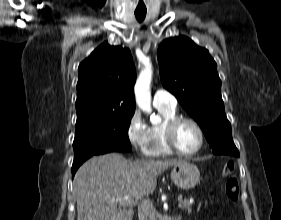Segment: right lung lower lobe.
I'll return each mask as SVG.
<instances>
[{
	"label": "right lung lower lobe",
	"mask_w": 281,
	"mask_h": 220,
	"mask_svg": "<svg viewBox=\"0 0 281 220\" xmlns=\"http://www.w3.org/2000/svg\"><path fill=\"white\" fill-rule=\"evenodd\" d=\"M111 152H115V151H111ZM111 152H108V153H111ZM93 155H94V154L85 155V156H83V157L74 159L73 165H72V177H74V175H75L77 169L79 168V166H80L84 161H86L87 159H89L90 157H92Z\"/></svg>",
	"instance_id": "right-lung-lower-lobe-1"
}]
</instances>
